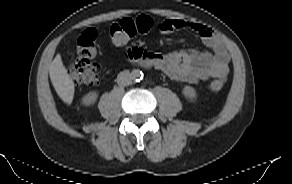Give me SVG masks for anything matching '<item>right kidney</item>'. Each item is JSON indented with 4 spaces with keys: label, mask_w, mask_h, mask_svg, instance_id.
<instances>
[{
    "label": "right kidney",
    "mask_w": 292,
    "mask_h": 184,
    "mask_svg": "<svg viewBox=\"0 0 292 184\" xmlns=\"http://www.w3.org/2000/svg\"><path fill=\"white\" fill-rule=\"evenodd\" d=\"M98 93L95 91L89 92L82 98V103L86 106L92 105L96 102Z\"/></svg>",
    "instance_id": "obj_1"
}]
</instances>
